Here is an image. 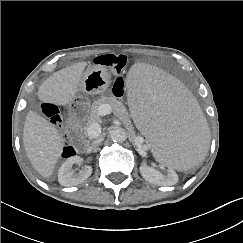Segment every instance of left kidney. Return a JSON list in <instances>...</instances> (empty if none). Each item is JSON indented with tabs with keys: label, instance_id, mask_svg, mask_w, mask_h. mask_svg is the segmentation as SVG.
I'll use <instances>...</instances> for the list:
<instances>
[{
	"label": "left kidney",
	"instance_id": "left-kidney-1",
	"mask_svg": "<svg viewBox=\"0 0 243 243\" xmlns=\"http://www.w3.org/2000/svg\"><path fill=\"white\" fill-rule=\"evenodd\" d=\"M163 167L164 166L161 164L160 168ZM139 169L142 177L150 183L159 186H172L178 182V175L173 170L167 169L165 173H162L148 165H141Z\"/></svg>",
	"mask_w": 243,
	"mask_h": 243
}]
</instances>
